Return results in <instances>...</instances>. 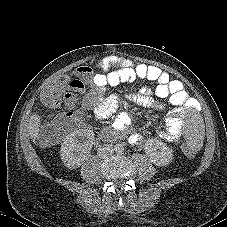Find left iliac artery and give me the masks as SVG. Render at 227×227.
<instances>
[{
    "label": "left iliac artery",
    "mask_w": 227,
    "mask_h": 227,
    "mask_svg": "<svg viewBox=\"0 0 227 227\" xmlns=\"http://www.w3.org/2000/svg\"><path fill=\"white\" fill-rule=\"evenodd\" d=\"M123 150H124V149H122V148H121V149H119V152H121V153H122V152H123Z\"/></svg>",
    "instance_id": "obj_1"
}]
</instances>
